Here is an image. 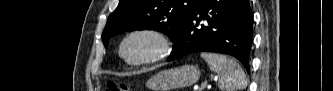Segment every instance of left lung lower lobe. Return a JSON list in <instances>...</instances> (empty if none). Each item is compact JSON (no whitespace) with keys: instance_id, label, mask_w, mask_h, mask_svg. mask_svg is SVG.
<instances>
[{"instance_id":"left-lung-lower-lobe-1","label":"left lung lower lobe","mask_w":333,"mask_h":91,"mask_svg":"<svg viewBox=\"0 0 333 91\" xmlns=\"http://www.w3.org/2000/svg\"><path fill=\"white\" fill-rule=\"evenodd\" d=\"M252 26L248 0H200L173 40L167 61L194 52H216L237 58L249 72Z\"/></svg>"}]
</instances>
